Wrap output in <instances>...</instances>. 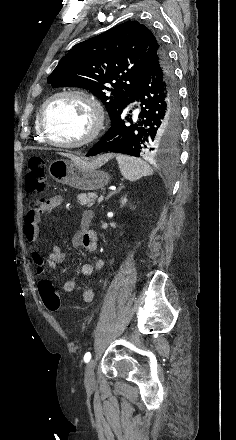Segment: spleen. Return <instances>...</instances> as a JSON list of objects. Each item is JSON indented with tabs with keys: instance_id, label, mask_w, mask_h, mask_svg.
Returning a JSON list of instances; mask_svg holds the SVG:
<instances>
[{
	"instance_id": "spleen-1",
	"label": "spleen",
	"mask_w": 236,
	"mask_h": 440,
	"mask_svg": "<svg viewBox=\"0 0 236 440\" xmlns=\"http://www.w3.org/2000/svg\"><path fill=\"white\" fill-rule=\"evenodd\" d=\"M121 174L129 181H136L144 176L152 175L153 169L140 158L119 154L116 156Z\"/></svg>"
}]
</instances>
